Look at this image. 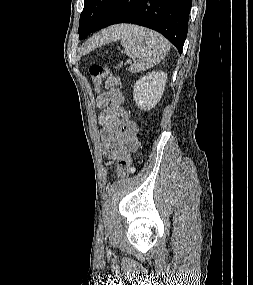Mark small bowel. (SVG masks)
<instances>
[{"label": "small bowel", "mask_w": 253, "mask_h": 285, "mask_svg": "<svg viewBox=\"0 0 253 285\" xmlns=\"http://www.w3.org/2000/svg\"><path fill=\"white\" fill-rule=\"evenodd\" d=\"M115 84L116 80L109 78L106 82L107 90L97 98V106L106 108L100 113L99 122L105 156L110 163L120 158L127 147L138 146L137 125L127 116H121L120 105L124 102V96Z\"/></svg>", "instance_id": "obj_1"}]
</instances>
